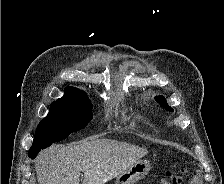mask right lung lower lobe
Returning <instances> with one entry per match:
<instances>
[{
  "mask_svg": "<svg viewBox=\"0 0 224 184\" xmlns=\"http://www.w3.org/2000/svg\"><path fill=\"white\" fill-rule=\"evenodd\" d=\"M36 155H37V154L32 153V152H29V153H28V156H29L31 159L35 158Z\"/></svg>",
  "mask_w": 224,
  "mask_h": 184,
  "instance_id": "obj_1",
  "label": "right lung lower lobe"
}]
</instances>
